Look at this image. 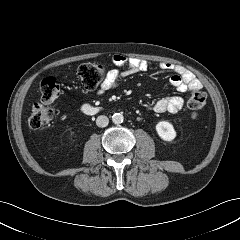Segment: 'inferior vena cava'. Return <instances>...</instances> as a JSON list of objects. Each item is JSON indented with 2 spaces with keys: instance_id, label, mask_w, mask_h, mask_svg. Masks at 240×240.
<instances>
[{
  "instance_id": "1",
  "label": "inferior vena cava",
  "mask_w": 240,
  "mask_h": 240,
  "mask_svg": "<svg viewBox=\"0 0 240 240\" xmlns=\"http://www.w3.org/2000/svg\"><path fill=\"white\" fill-rule=\"evenodd\" d=\"M108 123H109V119L105 115H100L96 119V125L98 127H101V128L106 127L108 125Z\"/></svg>"
}]
</instances>
